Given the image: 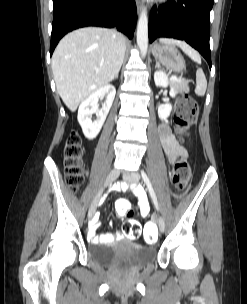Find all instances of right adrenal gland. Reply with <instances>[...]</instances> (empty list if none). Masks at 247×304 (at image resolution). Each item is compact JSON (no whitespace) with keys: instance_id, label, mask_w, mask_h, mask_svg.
<instances>
[{"instance_id":"right-adrenal-gland-1","label":"right adrenal gland","mask_w":247,"mask_h":304,"mask_svg":"<svg viewBox=\"0 0 247 304\" xmlns=\"http://www.w3.org/2000/svg\"><path fill=\"white\" fill-rule=\"evenodd\" d=\"M118 78V74L115 76V79H117Z\"/></svg>"}]
</instances>
